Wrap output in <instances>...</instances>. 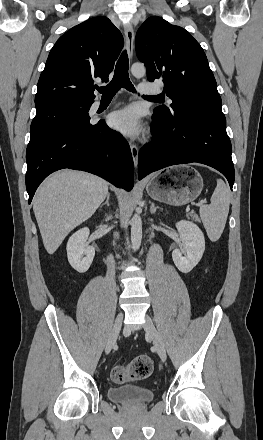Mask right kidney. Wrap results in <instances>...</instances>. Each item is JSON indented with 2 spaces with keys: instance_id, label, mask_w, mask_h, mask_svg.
<instances>
[{
  "instance_id": "ca27d5eb",
  "label": "right kidney",
  "mask_w": 263,
  "mask_h": 440,
  "mask_svg": "<svg viewBox=\"0 0 263 440\" xmlns=\"http://www.w3.org/2000/svg\"><path fill=\"white\" fill-rule=\"evenodd\" d=\"M87 227L76 231L68 240L67 257L70 265L79 273L86 272L95 256V249L86 241L89 237Z\"/></svg>"
}]
</instances>
